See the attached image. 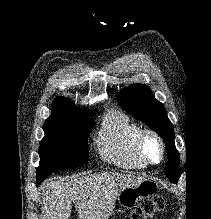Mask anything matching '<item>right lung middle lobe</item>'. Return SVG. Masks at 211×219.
Here are the masks:
<instances>
[{
    "label": "right lung middle lobe",
    "mask_w": 211,
    "mask_h": 219,
    "mask_svg": "<svg viewBox=\"0 0 211 219\" xmlns=\"http://www.w3.org/2000/svg\"><path fill=\"white\" fill-rule=\"evenodd\" d=\"M95 121L87 116L48 118L40 143L37 185L49 174L88 162L87 138Z\"/></svg>",
    "instance_id": "dd1d6c3e"
}]
</instances>
